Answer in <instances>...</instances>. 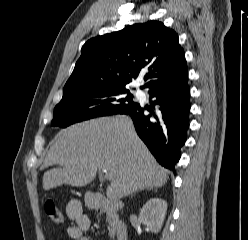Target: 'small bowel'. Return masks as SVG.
Masks as SVG:
<instances>
[{
    "label": "small bowel",
    "mask_w": 248,
    "mask_h": 240,
    "mask_svg": "<svg viewBox=\"0 0 248 240\" xmlns=\"http://www.w3.org/2000/svg\"><path fill=\"white\" fill-rule=\"evenodd\" d=\"M67 217L74 222L68 231L70 240H91L84 235L89 229L91 221L87 214L84 213L81 203L78 200H71L66 206Z\"/></svg>",
    "instance_id": "obj_1"
}]
</instances>
